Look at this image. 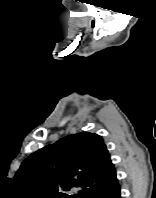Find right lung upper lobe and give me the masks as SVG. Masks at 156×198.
Instances as JSON below:
<instances>
[{
    "instance_id": "cb5924a9",
    "label": "right lung upper lobe",
    "mask_w": 156,
    "mask_h": 198,
    "mask_svg": "<svg viewBox=\"0 0 156 198\" xmlns=\"http://www.w3.org/2000/svg\"><path fill=\"white\" fill-rule=\"evenodd\" d=\"M15 179L33 195L64 198L76 190V198H105L119 186L114 165L103 138L82 132L60 139L31 154Z\"/></svg>"
}]
</instances>
